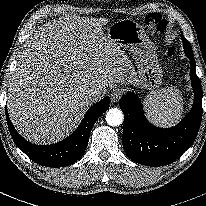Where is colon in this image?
Returning a JSON list of instances; mask_svg holds the SVG:
<instances>
[{"instance_id":"colon-1","label":"colon","mask_w":206,"mask_h":206,"mask_svg":"<svg viewBox=\"0 0 206 206\" xmlns=\"http://www.w3.org/2000/svg\"><path fill=\"white\" fill-rule=\"evenodd\" d=\"M142 23L150 28L154 29L158 33H163L166 30L167 22L166 20L160 16L159 14H150L142 19ZM167 55L172 57L175 55V49L170 47L167 49Z\"/></svg>"}]
</instances>
